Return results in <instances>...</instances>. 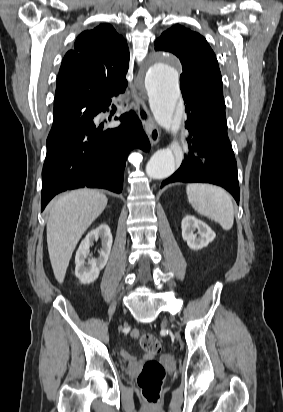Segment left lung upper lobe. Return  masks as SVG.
<instances>
[{"mask_svg":"<svg viewBox=\"0 0 283 412\" xmlns=\"http://www.w3.org/2000/svg\"><path fill=\"white\" fill-rule=\"evenodd\" d=\"M155 50L171 52L180 59V88L185 105L196 107L211 120L226 121L221 73L206 39L175 25L155 41Z\"/></svg>","mask_w":283,"mask_h":412,"instance_id":"left-lung-upper-lobe-1","label":"left lung upper lobe"}]
</instances>
